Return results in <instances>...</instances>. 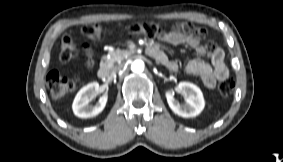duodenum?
I'll list each match as a JSON object with an SVG mask.
<instances>
[{"label":"duodenum","instance_id":"duodenum-1","mask_svg":"<svg viewBox=\"0 0 283 162\" xmlns=\"http://www.w3.org/2000/svg\"><path fill=\"white\" fill-rule=\"evenodd\" d=\"M147 52L149 53V55H151L152 57L158 59V58H162V52L156 47V46H148L147 47ZM109 75V71L107 68L102 67L99 69L98 71V77L101 79H105L107 78Z\"/></svg>","mask_w":283,"mask_h":162}]
</instances>
